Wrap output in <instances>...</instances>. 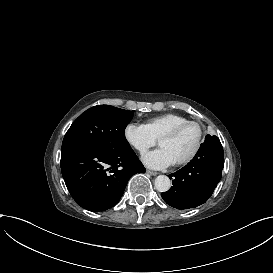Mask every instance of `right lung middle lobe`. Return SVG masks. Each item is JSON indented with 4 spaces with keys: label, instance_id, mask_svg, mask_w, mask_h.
<instances>
[{
    "label": "right lung middle lobe",
    "instance_id": "obj_1",
    "mask_svg": "<svg viewBox=\"0 0 273 273\" xmlns=\"http://www.w3.org/2000/svg\"><path fill=\"white\" fill-rule=\"evenodd\" d=\"M134 111L109 105H98L82 113L71 125L63 139L61 150L88 145L115 151L131 147L125 139V128Z\"/></svg>",
    "mask_w": 273,
    "mask_h": 273
}]
</instances>
